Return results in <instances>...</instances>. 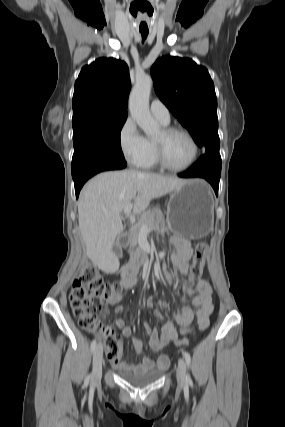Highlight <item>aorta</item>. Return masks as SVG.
I'll list each match as a JSON object with an SVG mask.
<instances>
[{
	"label": "aorta",
	"instance_id": "1",
	"mask_svg": "<svg viewBox=\"0 0 285 427\" xmlns=\"http://www.w3.org/2000/svg\"><path fill=\"white\" fill-rule=\"evenodd\" d=\"M153 85L152 78L147 75L137 77L129 97V110L132 118L149 137L159 132V125L151 116L149 97Z\"/></svg>",
	"mask_w": 285,
	"mask_h": 427
}]
</instances>
